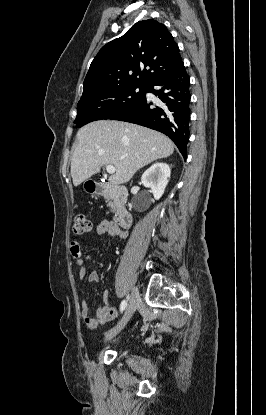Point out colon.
I'll list each match as a JSON object with an SVG mask.
<instances>
[{
    "instance_id": "colon-1",
    "label": "colon",
    "mask_w": 266,
    "mask_h": 415,
    "mask_svg": "<svg viewBox=\"0 0 266 415\" xmlns=\"http://www.w3.org/2000/svg\"><path fill=\"white\" fill-rule=\"evenodd\" d=\"M91 231V222L83 215H78L73 220L72 234L81 236Z\"/></svg>"
}]
</instances>
